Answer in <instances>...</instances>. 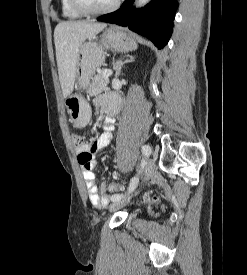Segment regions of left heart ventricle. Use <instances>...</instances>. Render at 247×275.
Masks as SVG:
<instances>
[{
  "label": "left heart ventricle",
  "instance_id": "1",
  "mask_svg": "<svg viewBox=\"0 0 247 275\" xmlns=\"http://www.w3.org/2000/svg\"><path fill=\"white\" fill-rule=\"evenodd\" d=\"M79 3L91 10L101 9L111 5L114 0H78Z\"/></svg>",
  "mask_w": 247,
  "mask_h": 275
}]
</instances>
